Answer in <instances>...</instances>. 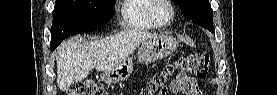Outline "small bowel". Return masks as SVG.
I'll use <instances>...</instances> for the list:
<instances>
[{
  "instance_id": "obj_1",
  "label": "small bowel",
  "mask_w": 277,
  "mask_h": 95,
  "mask_svg": "<svg viewBox=\"0 0 277 95\" xmlns=\"http://www.w3.org/2000/svg\"><path fill=\"white\" fill-rule=\"evenodd\" d=\"M167 92L180 95H199L203 93L199 82L195 78L184 74H179L170 86L164 88L160 94H167Z\"/></svg>"
}]
</instances>
